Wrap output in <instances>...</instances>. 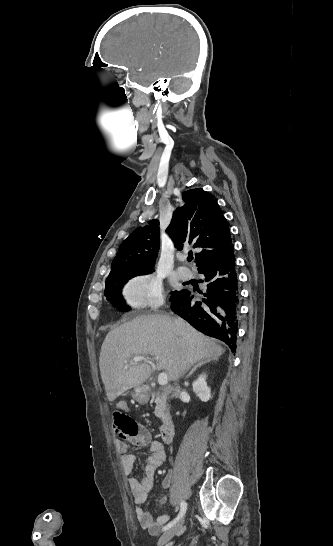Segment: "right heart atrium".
<instances>
[{
  "label": "right heart atrium",
  "instance_id": "1",
  "mask_svg": "<svg viewBox=\"0 0 333 546\" xmlns=\"http://www.w3.org/2000/svg\"><path fill=\"white\" fill-rule=\"evenodd\" d=\"M122 297L124 305L130 310H155L163 304V287L155 277L139 275L124 285Z\"/></svg>",
  "mask_w": 333,
  "mask_h": 546
}]
</instances>
